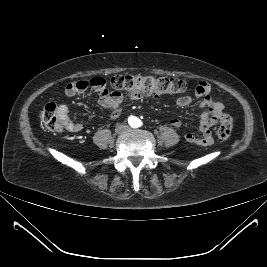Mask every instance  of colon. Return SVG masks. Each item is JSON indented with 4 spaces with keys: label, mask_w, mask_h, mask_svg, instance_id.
Here are the masks:
<instances>
[{
    "label": "colon",
    "mask_w": 267,
    "mask_h": 267,
    "mask_svg": "<svg viewBox=\"0 0 267 267\" xmlns=\"http://www.w3.org/2000/svg\"><path fill=\"white\" fill-rule=\"evenodd\" d=\"M113 92L124 93L132 97H160L175 96L187 88V83L179 78H169L142 74L117 75L107 83ZM106 83L104 82V87ZM108 89L100 91L99 95H105ZM44 126L52 131H60L62 124L57 113V106L48 103L41 115ZM233 122L230 116L223 114L220 117V126L217 136L220 140H227L232 133Z\"/></svg>",
    "instance_id": "colon-1"
}]
</instances>
